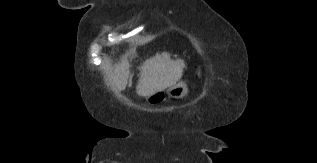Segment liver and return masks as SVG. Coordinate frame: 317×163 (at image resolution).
I'll return each mask as SVG.
<instances>
[{
  "instance_id": "1",
  "label": "liver",
  "mask_w": 317,
  "mask_h": 163,
  "mask_svg": "<svg viewBox=\"0 0 317 163\" xmlns=\"http://www.w3.org/2000/svg\"><path fill=\"white\" fill-rule=\"evenodd\" d=\"M128 67L127 62L120 63L110 74L109 86L112 91L117 92L126 88L129 77ZM184 68L186 65L183 59H171V55L167 52L156 53L139 67L137 94L149 97L176 85L182 77Z\"/></svg>"
}]
</instances>
